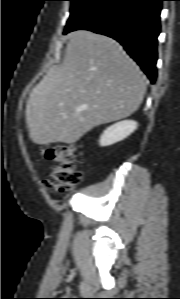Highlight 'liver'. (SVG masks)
<instances>
[{"label":"liver","mask_w":180,"mask_h":299,"mask_svg":"<svg viewBox=\"0 0 180 299\" xmlns=\"http://www.w3.org/2000/svg\"><path fill=\"white\" fill-rule=\"evenodd\" d=\"M145 77L115 40L89 31L69 35L64 60L32 89L26 122L32 142L72 144L101 124L134 113Z\"/></svg>","instance_id":"liver-1"}]
</instances>
